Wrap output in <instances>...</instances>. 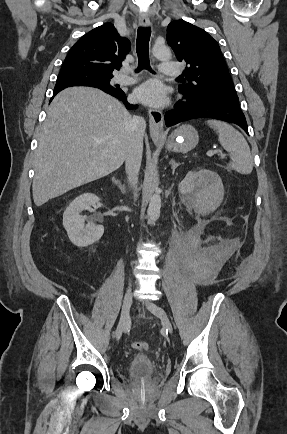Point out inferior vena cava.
Wrapping results in <instances>:
<instances>
[{"mask_svg": "<svg viewBox=\"0 0 287 434\" xmlns=\"http://www.w3.org/2000/svg\"><path fill=\"white\" fill-rule=\"evenodd\" d=\"M146 122L143 117L133 116L131 120L132 138L125 159V170L128 182L135 188L142 161L143 136Z\"/></svg>", "mask_w": 287, "mask_h": 434, "instance_id": "obj_1", "label": "inferior vena cava"}]
</instances>
